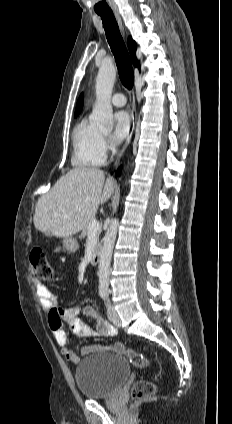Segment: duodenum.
Masks as SVG:
<instances>
[{
  "label": "duodenum",
  "instance_id": "duodenum-1",
  "mask_svg": "<svg viewBox=\"0 0 232 424\" xmlns=\"http://www.w3.org/2000/svg\"><path fill=\"white\" fill-rule=\"evenodd\" d=\"M100 256H101V249L99 247H96L92 252L90 264L92 266H96L100 261Z\"/></svg>",
  "mask_w": 232,
  "mask_h": 424
}]
</instances>
